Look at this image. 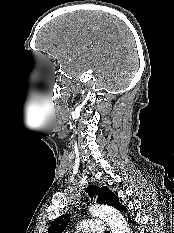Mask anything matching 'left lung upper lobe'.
<instances>
[{
	"label": "left lung upper lobe",
	"mask_w": 174,
	"mask_h": 233,
	"mask_svg": "<svg viewBox=\"0 0 174 233\" xmlns=\"http://www.w3.org/2000/svg\"><path fill=\"white\" fill-rule=\"evenodd\" d=\"M87 192L90 197H93L94 195L98 194L99 195L97 199L98 203L111 205L116 209H118L119 211L126 210L125 207L120 204L119 198L106 186L100 188L95 185H90L87 188ZM70 217H71L70 214H64L58 217L57 219H55L52 222L48 230V233H62L66 229L70 221Z\"/></svg>",
	"instance_id": "1"
}]
</instances>
